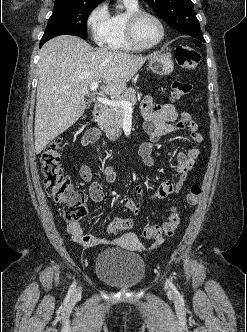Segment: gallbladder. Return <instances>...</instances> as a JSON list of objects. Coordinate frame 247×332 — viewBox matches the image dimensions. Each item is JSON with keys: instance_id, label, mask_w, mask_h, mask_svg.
Wrapping results in <instances>:
<instances>
[{"instance_id": "obj_1", "label": "gallbladder", "mask_w": 247, "mask_h": 332, "mask_svg": "<svg viewBox=\"0 0 247 332\" xmlns=\"http://www.w3.org/2000/svg\"><path fill=\"white\" fill-rule=\"evenodd\" d=\"M86 106L89 107V106H90V103H89V102H86Z\"/></svg>"}]
</instances>
